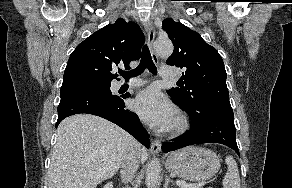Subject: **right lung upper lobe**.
Masks as SVG:
<instances>
[{"mask_svg":"<svg viewBox=\"0 0 292 188\" xmlns=\"http://www.w3.org/2000/svg\"><path fill=\"white\" fill-rule=\"evenodd\" d=\"M145 41L140 27L119 18L93 33L71 53L64 81L93 78L112 81V74L118 65L129 69V63L140 58V50Z\"/></svg>","mask_w":292,"mask_h":188,"instance_id":"cb5924a9","label":"right lung upper lobe"}]
</instances>
